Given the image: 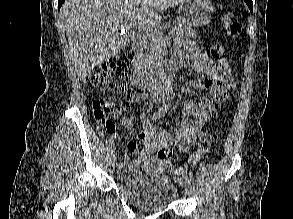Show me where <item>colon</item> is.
Returning a JSON list of instances; mask_svg holds the SVG:
<instances>
[{
	"label": "colon",
	"mask_w": 293,
	"mask_h": 219,
	"mask_svg": "<svg viewBox=\"0 0 293 219\" xmlns=\"http://www.w3.org/2000/svg\"><path fill=\"white\" fill-rule=\"evenodd\" d=\"M222 28L228 37L237 40L241 33V27L238 21L231 14H224L221 18ZM226 48L222 44H215L211 48V54L216 60V68L222 74H230V66L224 57ZM135 60L133 53L117 56L104 64L101 69L90 77L93 86H102L111 83L112 77L124 80L130 73L131 65ZM112 84V83H111ZM119 92L124 93L127 97L131 96L130 90L124 81L115 84ZM129 106L128 102L124 107ZM93 115L101 130L107 132L114 131V122L112 118L119 116V110L112 101L96 100L93 102ZM212 137L208 132L203 133L198 141L196 151L189 157L190 164L198 161L210 148ZM173 156V149L170 146L162 147L157 152L158 159L170 164Z\"/></svg>",
	"instance_id": "5ec220e1"
}]
</instances>
